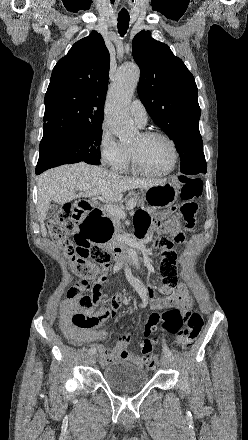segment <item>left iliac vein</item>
Listing matches in <instances>:
<instances>
[{
	"label": "left iliac vein",
	"mask_w": 248,
	"mask_h": 440,
	"mask_svg": "<svg viewBox=\"0 0 248 440\" xmlns=\"http://www.w3.org/2000/svg\"><path fill=\"white\" fill-rule=\"evenodd\" d=\"M170 358H168L166 355L162 356L161 358V365L163 368H168L170 366Z\"/></svg>",
	"instance_id": "4c4485c4"
}]
</instances>
